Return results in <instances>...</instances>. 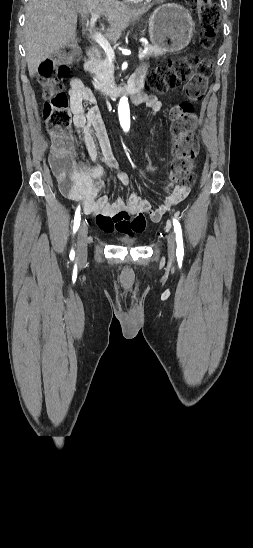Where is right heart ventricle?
<instances>
[{"instance_id":"1","label":"right heart ventricle","mask_w":253,"mask_h":548,"mask_svg":"<svg viewBox=\"0 0 253 548\" xmlns=\"http://www.w3.org/2000/svg\"><path fill=\"white\" fill-rule=\"evenodd\" d=\"M126 1H129V2H138L140 0H126Z\"/></svg>"}]
</instances>
